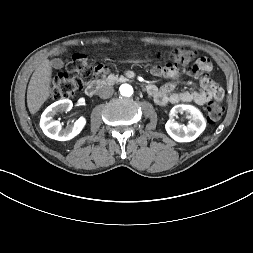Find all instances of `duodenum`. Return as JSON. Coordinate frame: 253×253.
Listing matches in <instances>:
<instances>
[{
	"mask_svg": "<svg viewBox=\"0 0 253 253\" xmlns=\"http://www.w3.org/2000/svg\"><path fill=\"white\" fill-rule=\"evenodd\" d=\"M118 81L116 78H101L94 80L90 82L86 88H85V93L88 96H93L95 95L104 85L110 83V82H115Z\"/></svg>",
	"mask_w": 253,
	"mask_h": 253,
	"instance_id": "duodenum-1",
	"label": "duodenum"
}]
</instances>
